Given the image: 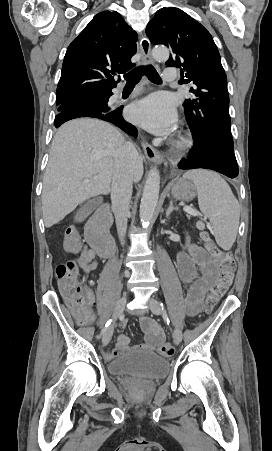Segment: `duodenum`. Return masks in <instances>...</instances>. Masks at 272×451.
I'll list each match as a JSON object with an SVG mask.
<instances>
[{
    "label": "duodenum",
    "mask_w": 272,
    "mask_h": 451,
    "mask_svg": "<svg viewBox=\"0 0 272 451\" xmlns=\"http://www.w3.org/2000/svg\"><path fill=\"white\" fill-rule=\"evenodd\" d=\"M112 218L109 207L103 205L88 222L85 237L87 243L102 258H108L114 250V239L110 233Z\"/></svg>",
    "instance_id": "duodenum-1"
}]
</instances>
